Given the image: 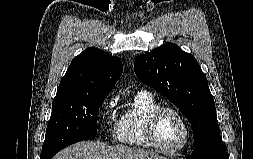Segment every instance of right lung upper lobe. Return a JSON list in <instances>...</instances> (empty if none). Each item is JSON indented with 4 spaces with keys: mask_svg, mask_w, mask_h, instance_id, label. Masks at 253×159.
I'll return each instance as SVG.
<instances>
[{
    "mask_svg": "<svg viewBox=\"0 0 253 159\" xmlns=\"http://www.w3.org/2000/svg\"><path fill=\"white\" fill-rule=\"evenodd\" d=\"M122 72L119 58L94 47L87 48L72 60L55 98L108 95Z\"/></svg>",
    "mask_w": 253,
    "mask_h": 159,
    "instance_id": "obj_1",
    "label": "right lung upper lobe"
}]
</instances>
